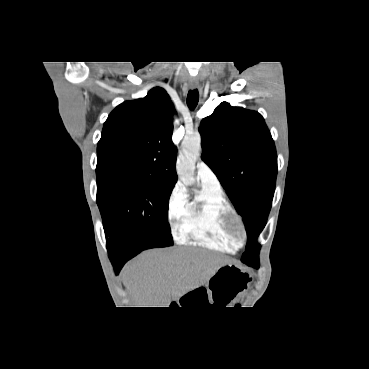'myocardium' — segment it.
<instances>
[{
	"instance_id": "obj_1",
	"label": "myocardium",
	"mask_w": 369,
	"mask_h": 369,
	"mask_svg": "<svg viewBox=\"0 0 369 369\" xmlns=\"http://www.w3.org/2000/svg\"><path fill=\"white\" fill-rule=\"evenodd\" d=\"M226 228L231 237L238 243L242 244L247 239L246 230L241 219L234 213H229L225 218Z\"/></svg>"
}]
</instances>
